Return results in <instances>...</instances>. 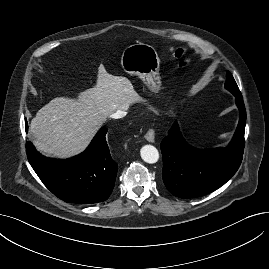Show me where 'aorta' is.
Masks as SVG:
<instances>
[{"label": "aorta", "instance_id": "762f6f07", "mask_svg": "<svg viewBox=\"0 0 269 269\" xmlns=\"http://www.w3.org/2000/svg\"><path fill=\"white\" fill-rule=\"evenodd\" d=\"M140 155L146 163H156L159 159L158 150L152 145H144L140 150Z\"/></svg>", "mask_w": 269, "mask_h": 269}]
</instances>
